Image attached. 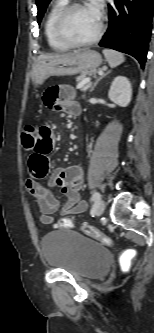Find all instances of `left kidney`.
<instances>
[{
	"label": "left kidney",
	"mask_w": 154,
	"mask_h": 333,
	"mask_svg": "<svg viewBox=\"0 0 154 333\" xmlns=\"http://www.w3.org/2000/svg\"><path fill=\"white\" fill-rule=\"evenodd\" d=\"M108 97L121 107L128 106L132 97V87L129 80L124 76L116 77L111 84Z\"/></svg>",
	"instance_id": "5707ae66"
}]
</instances>
